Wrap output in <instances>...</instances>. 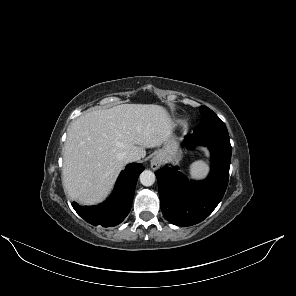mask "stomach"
Instances as JSON below:
<instances>
[{
  "label": "stomach",
  "instance_id": "stomach-1",
  "mask_svg": "<svg viewBox=\"0 0 296 296\" xmlns=\"http://www.w3.org/2000/svg\"><path fill=\"white\" fill-rule=\"evenodd\" d=\"M158 155L162 158L163 162L177 163L181 159V150L179 149L178 142L172 136L158 151Z\"/></svg>",
  "mask_w": 296,
  "mask_h": 296
}]
</instances>
